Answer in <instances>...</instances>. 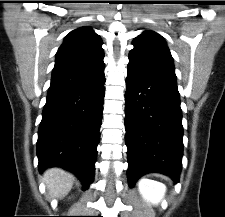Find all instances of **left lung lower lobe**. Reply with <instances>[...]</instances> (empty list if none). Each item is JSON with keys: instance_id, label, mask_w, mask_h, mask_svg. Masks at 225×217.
I'll use <instances>...</instances> for the list:
<instances>
[{"instance_id": "0a47b994", "label": "left lung lower lobe", "mask_w": 225, "mask_h": 217, "mask_svg": "<svg viewBox=\"0 0 225 217\" xmlns=\"http://www.w3.org/2000/svg\"><path fill=\"white\" fill-rule=\"evenodd\" d=\"M125 129L130 187L149 172L179 181L183 126L175 79L128 68Z\"/></svg>"}]
</instances>
